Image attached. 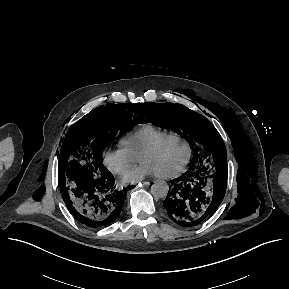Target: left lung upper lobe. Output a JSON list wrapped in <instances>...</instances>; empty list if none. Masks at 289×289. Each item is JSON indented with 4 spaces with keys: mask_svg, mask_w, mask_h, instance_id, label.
I'll list each match as a JSON object with an SVG mask.
<instances>
[{
    "mask_svg": "<svg viewBox=\"0 0 289 289\" xmlns=\"http://www.w3.org/2000/svg\"><path fill=\"white\" fill-rule=\"evenodd\" d=\"M141 106L138 115L141 122L172 130L188 141L194 152L189 168L215 169L218 164L227 162L223 139L204 116L182 104L143 103Z\"/></svg>",
    "mask_w": 289,
    "mask_h": 289,
    "instance_id": "obj_1",
    "label": "left lung upper lobe"
}]
</instances>
